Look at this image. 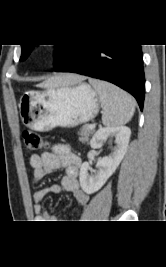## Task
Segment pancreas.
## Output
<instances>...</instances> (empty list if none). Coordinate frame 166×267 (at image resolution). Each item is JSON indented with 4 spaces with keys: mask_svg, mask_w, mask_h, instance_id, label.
<instances>
[{
    "mask_svg": "<svg viewBox=\"0 0 166 267\" xmlns=\"http://www.w3.org/2000/svg\"><path fill=\"white\" fill-rule=\"evenodd\" d=\"M94 133L93 129H90L88 125H84L82 126V128L80 129L79 135L80 138L79 140L82 143H86L89 139V137Z\"/></svg>",
    "mask_w": 166,
    "mask_h": 267,
    "instance_id": "obj_1",
    "label": "pancreas"
}]
</instances>
